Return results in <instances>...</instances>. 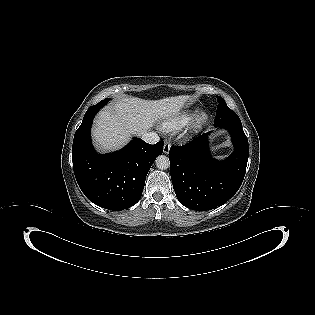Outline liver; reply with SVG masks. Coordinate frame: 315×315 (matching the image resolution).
Wrapping results in <instances>:
<instances>
[{
  "label": "liver",
  "mask_w": 315,
  "mask_h": 315,
  "mask_svg": "<svg viewBox=\"0 0 315 315\" xmlns=\"http://www.w3.org/2000/svg\"><path fill=\"white\" fill-rule=\"evenodd\" d=\"M188 99L186 95L160 100L122 98L98 114L93 138L101 150H116L125 145L131 135L141 136L159 120L179 114Z\"/></svg>",
  "instance_id": "1"
}]
</instances>
